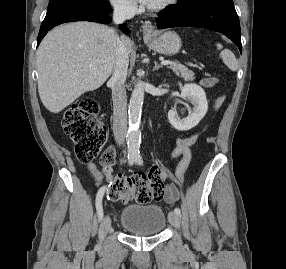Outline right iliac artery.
<instances>
[{
	"instance_id": "82829eb1",
	"label": "right iliac artery",
	"mask_w": 286,
	"mask_h": 269,
	"mask_svg": "<svg viewBox=\"0 0 286 269\" xmlns=\"http://www.w3.org/2000/svg\"><path fill=\"white\" fill-rule=\"evenodd\" d=\"M134 161L135 160L133 158H130L129 159V164L132 165L134 163ZM105 190H106V186H102L98 190L97 195H96V203L95 204H96V210H97L99 221L102 220L103 215H104L103 207H102V198H103Z\"/></svg>"
}]
</instances>
